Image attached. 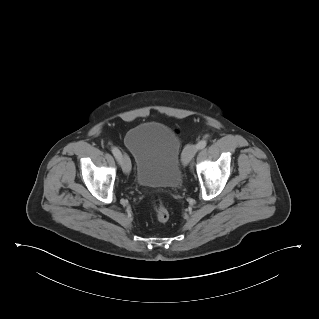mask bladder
Masks as SVG:
<instances>
[{
  "instance_id": "bladder-1",
  "label": "bladder",
  "mask_w": 319,
  "mask_h": 319,
  "mask_svg": "<svg viewBox=\"0 0 319 319\" xmlns=\"http://www.w3.org/2000/svg\"><path fill=\"white\" fill-rule=\"evenodd\" d=\"M124 144L135 160V181L152 188H175L182 181V146L177 134L160 122L129 129Z\"/></svg>"
}]
</instances>
